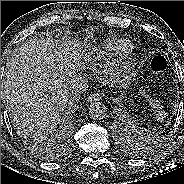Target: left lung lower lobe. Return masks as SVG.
<instances>
[{"label": "left lung lower lobe", "instance_id": "0a47b994", "mask_svg": "<svg viewBox=\"0 0 184 184\" xmlns=\"http://www.w3.org/2000/svg\"><path fill=\"white\" fill-rule=\"evenodd\" d=\"M172 122V121H171ZM171 126V125H170ZM168 127V128H165V130L164 131H162L161 132V134H159V136H149V137H151V138H153V139H159V140H161L164 136H166V135H168V133L170 132V128L171 127Z\"/></svg>", "mask_w": 184, "mask_h": 184}]
</instances>
